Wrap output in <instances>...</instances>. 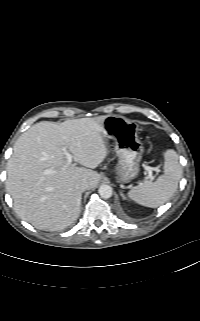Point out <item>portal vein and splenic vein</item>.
<instances>
[{"instance_id": "obj_1", "label": "portal vein and splenic vein", "mask_w": 200, "mask_h": 321, "mask_svg": "<svg viewBox=\"0 0 200 321\" xmlns=\"http://www.w3.org/2000/svg\"><path fill=\"white\" fill-rule=\"evenodd\" d=\"M63 152H64V154H65V156H66V159H67L66 162H67V164H68V165L71 164V163H72V159H73V155L70 154L65 147L63 148ZM144 168H145L146 171H148V174H149L148 176H149V178L153 179L152 171H154V170H156V169L153 168V167L147 166V165H145ZM52 173H54V171L51 170V169H46V170L44 171V174H52Z\"/></svg>"}]
</instances>
